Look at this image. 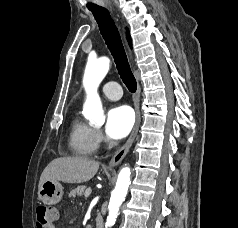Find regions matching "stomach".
Instances as JSON below:
<instances>
[{
	"label": "stomach",
	"mask_w": 238,
	"mask_h": 228,
	"mask_svg": "<svg viewBox=\"0 0 238 228\" xmlns=\"http://www.w3.org/2000/svg\"><path fill=\"white\" fill-rule=\"evenodd\" d=\"M63 187L58 181H45L38 191L39 199L47 205H54L61 201Z\"/></svg>",
	"instance_id": "stomach-1"
}]
</instances>
